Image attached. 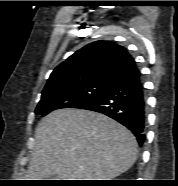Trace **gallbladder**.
Wrapping results in <instances>:
<instances>
[{
  "mask_svg": "<svg viewBox=\"0 0 178 186\" xmlns=\"http://www.w3.org/2000/svg\"><path fill=\"white\" fill-rule=\"evenodd\" d=\"M50 180H55V178H50Z\"/></svg>",
  "mask_w": 178,
  "mask_h": 186,
  "instance_id": "gallbladder-1",
  "label": "gallbladder"
}]
</instances>
